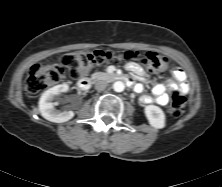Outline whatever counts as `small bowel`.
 <instances>
[{
  "label": "small bowel",
  "instance_id": "small-bowel-1",
  "mask_svg": "<svg viewBox=\"0 0 222 187\" xmlns=\"http://www.w3.org/2000/svg\"><path fill=\"white\" fill-rule=\"evenodd\" d=\"M127 68H128L129 71H131L134 74L144 75L143 70L136 64H129L127 66ZM173 74H174V77L179 82L177 84V87L183 92H188L189 91V83L186 80V75H185L184 71L181 68L176 67L173 70ZM141 89H142L141 85L136 86L137 91H140ZM141 101L143 103L156 102V103H158L159 105H162V106L166 105L169 101V96H168L167 91H166V86L164 84H161V83L155 84L152 87L151 94L143 96Z\"/></svg>",
  "mask_w": 222,
  "mask_h": 187
}]
</instances>
